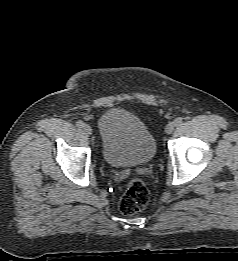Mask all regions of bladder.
Returning a JSON list of instances; mask_svg holds the SVG:
<instances>
[{
	"instance_id": "bladder-1",
	"label": "bladder",
	"mask_w": 238,
	"mask_h": 261,
	"mask_svg": "<svg viewBox=\"0 0 238 261\" xmlns=\"http://www.w3.org/2000/svg\"><path fill=\"white\" fill-rule=\"evenodd\" d=\"M98 129L103 159L111 166L141 165L155 156L152 133L131 112L118 108L105 111L98 120Z\"/></svg>"
}]
</instances>
